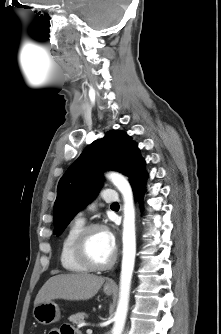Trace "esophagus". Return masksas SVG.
<instances>
[{"mask_svg": "<svg viewBox=\"0 0 221 334\" xmlns=\"http://www.w3.org/2000/svg\"><path fill=\"white\" fill-rule=\"evenodd\" d=\"M106 286H107V287H115L116 284H115L114 281L110 280V281H108V282L106 283Z\"/></svg>", "mask_w": 221, "mask_h": 334, "instance_id": "1", "label": "esophagus"}]
</instances>
